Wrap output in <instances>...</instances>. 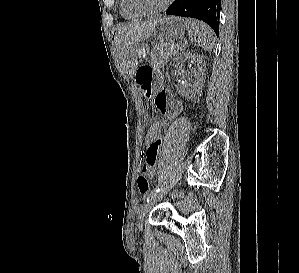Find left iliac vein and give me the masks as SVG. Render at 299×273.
I'll use <instances>...</instances> for the list:
<instances>
[{"label": "left iliac vein", "instance_id": "1", "mask_svg": "<svg viewBox=\"0 0 299 273\" xmlns=\"http://www.w3.org/2000/svg\"><path fill=\"white\" fill-rule=\"evenodd\" d=\"M171 186H167L166 188L162 189L161 192L156 194L149 202H147L140 210L138 216V228L142 230L143 227V219L145 215L151 210V208L160 201L165 194L168 192Z\"/></svg>", "mask_w": 299, "mask_h": 273}]
</instances>
